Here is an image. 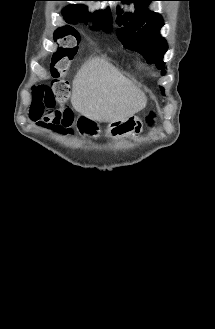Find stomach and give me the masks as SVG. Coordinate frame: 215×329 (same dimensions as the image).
I'll return each instance as SVG.
<instances>
[{
  "label": "stomach",
  "mask_w": 215,
  "mask_h": 329,
  "mask_svg": "<svg viewBox=\"0 0 215 329\" xmlns=\"http://www.w3.org/2000/svg\"><path fill=\"white\" fill-rule=\"evenodd\" d=\"M142 122L137 116H130L127 119L110 122L106 133L112 139L134 138L142 132Z\"/></svg>",
  "instance_id": "obj_1"
}]
</instances>
